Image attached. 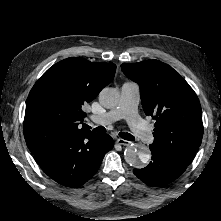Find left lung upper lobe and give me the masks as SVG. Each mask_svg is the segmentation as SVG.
<instances>
[{
	"label": "left lung upper lobe",
	"instance_id": "left-lung-upper-lobe-1",
	"mask_svg": "<svg viewBox=\"0 0 221 221\" xmlns=\"http://www.w3.org/2000/svg\"><path fill=\"white\" fill-rule=\"evenodd\" d=\"M121 68L140 86L145 114L156 120L150 148L188 165L203 137L201 105L193 89L158 60L124 63Z\"/></svg>",
	"mask_w": 221,
	"mask_h": 221
}]
</instances>
